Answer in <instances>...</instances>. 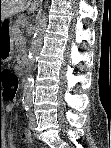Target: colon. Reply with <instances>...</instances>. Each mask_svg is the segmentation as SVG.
Instances as JSON below:
<instances>
[{
  "mask_svg": "<svg viewBox=\"0 0 111 148\" xmlns=\"http://www.w3.org/2000/svg\"><path fill=\"white\" fill-rule=\"evenodd\" d=\"M0 87H2L3 98L7 101H14L17 97L18 78L6 69L0 71Z\"/></svg>",
  "mask_w": 111,
  "mask_h": 148,
  "instance_id": "colon-1",
  "label": "colon"
}]
</instances>
